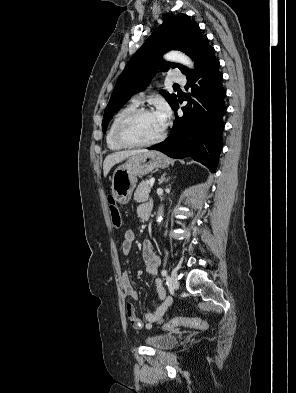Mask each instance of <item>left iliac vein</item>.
Returning a JSON list of instances; mask_svg holds the SVG:
<instances>
[{
    "mask_svg": "<svg viewBox=\"0 0 296 393\" xmlns=\"http://www.w3.org/2000/svg\"><path fill=\"white\" fill-rule=\"evenodd\" d=\"M169 283L172 286V288L177 289L179 286V281H178V275L175 270L171 272L170 278H169Z\"/></svg>",
    "mask_w": 296,
    "mask_h": 393,
    "instance_id": "obj_1",
    "label": "left iliac vein"
}]
</instances>
